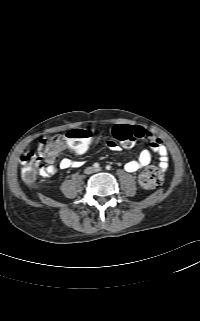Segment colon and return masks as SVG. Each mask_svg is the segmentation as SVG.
<instances>
[{
    "label": "colon",
    "mask_w": 200,
    "mask_h": 321,
    "mask_svg": "<svg viewBox=\"0 0 200 321\" xmlns=\"http://www.w3.org/2000/svg\"><path fill=\"white\" fill-rule=\"evenodd\" d=\"M112 138L125 147H131L141 134L135 127L115 125L111 128ZM91 142V132L86 129H72L65 135L44 138L36 151L27 152L21 159L22 177L27 183L35 180L36 172L43 161L54 157L63 147L68 146L79 154H85ZM163 181V173L157 166H150L139 176V183L144 189H154Z\"/></svg>",
    "instance_id": "obj_1"
}]
</instances>
